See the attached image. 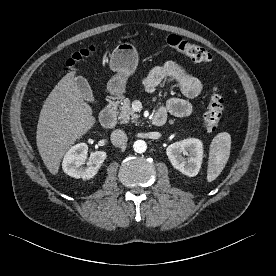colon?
I'll return each instance as SVG.
<instances>
[{
  "label": "colon",
  "instance_id": "5ec220e1",
  "mask_svg": "<svg viewBox=\"0 0 276 276\" xmlns=\"http://www.w3.org/2000/svg\"><path fill=\"white\" fill-rule=\"evenodd\" d=\"M167 44L170 48L181 52L198 63H208L211 60L210 53L203 47L193 44L178 35H170L167 38ZM94 52V47L73 51L66 59L65 66L73 67L78 61L89 57ZM224 111V98L221 93L215 89L210 95L203 117V126L209 132H214L219 126Z\"/></svg>",
  "mask_w": 276,
  "mask_h": 276
}]
</instances>
